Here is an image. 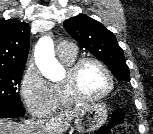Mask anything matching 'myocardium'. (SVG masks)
Instances as JSON below:
<instances>
[{"label":"myocardium","instance_id":"f54148a6","mask_svg":"<svg viewBox=\"0 0 153 134\" xmlns=\"http://www.w3.org/2000/svg\"><path fill=\"white\" fill-rule=\"evenodd\" d=\"M89 63H93L99 66L104 71L109 80L108 88L103 93L94 96H88L83 94L80 91L78 84L81 69ZM61 85L65 92V95L73 103L94 102L107 97L114 90L115 78L108 66L100 59L95 57H82L76 60L72 65L67 68L66 76L61 81Z\"/></svg>","mask_w":153,"mask_h":134}]
</instances>
